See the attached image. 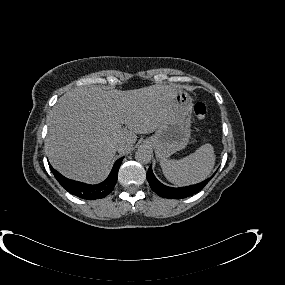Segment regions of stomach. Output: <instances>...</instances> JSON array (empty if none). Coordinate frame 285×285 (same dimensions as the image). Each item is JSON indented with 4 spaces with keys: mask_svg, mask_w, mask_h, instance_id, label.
Masks as SVG:
<instances>
[{
    "mask_svg": "<svg viewBox=\"0 0 285 285\" xmlns=\"http://www.w3.org/2000/svg\"><path fill=\"white\" fill-rule=\"evenodd\" d=\"M191 113L190 95L185 90H177L166 119L155 134L146 140L157 157L168 158L186 147L190 138Z\"/></svg>",
    "mask_w": 285,
    "mask_h": 285,
    "instance_id": "0dacf381",
    "label": "stomach"
}]
</instances>
